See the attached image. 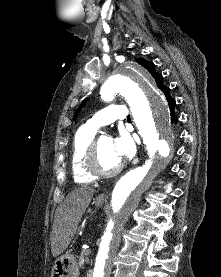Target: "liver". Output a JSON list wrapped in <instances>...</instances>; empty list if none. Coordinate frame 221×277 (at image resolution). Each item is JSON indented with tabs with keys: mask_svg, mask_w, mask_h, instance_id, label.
Returning a JSON list of instances; mask_svg holds the SVG:
<instances>
[{
	"mask_svg": "<svg viewBox=\"0 0 221 277\" xmlns=\"http://www.w3.org/2000/svg\"><path fill=\"white\" fill-rule=\"evenodd\" d=\"M94 192L95 190L91 187L76 188L58 206L51 235V251L54 257L59 256L72 241Z\"/></svg>",
	"mask_w": 221,
	"mask_h": 277,
	"instance_id": "1",
	"label": "liver"
}]
</instances>
